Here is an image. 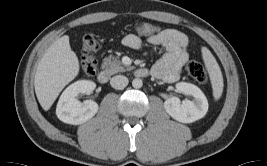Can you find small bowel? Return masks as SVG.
<instances>
[{
  "mask_svg": "<svg viewBox=\"0 0 267 166\" xmlns=\"http://www.w3.org/2000/svg\"><path fill=\"white\" fill-rule=\"evenodd\" d=\"M146 41L166 51L164 56L152 66L151 74L166 83L177 81L183 66L189 59L188 37L176 29H164L147 36ZM122 43L128 48L138 50L142 47L143 41L139 35L128 34L123 38Z\"/></svg>",
  "mask_w": 267,
  "mask_h": 166,
  "instance_id": "1",
  "label": "small bowel"
}]
</instances>
